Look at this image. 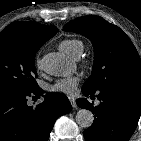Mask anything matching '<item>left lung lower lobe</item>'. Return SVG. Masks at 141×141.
<instances>
[{
    "label": "left lung lower lobe",
    "instance_id": "1",
    "mask_svg": "<svg viewBox=\"0 0 141 141\" xmlns=\"http://www.w3.org/2000/svg\"><path fill=\"white\" fill-rule=\"evenodd\" d=\"M85 96L92 95L82 88ZM101 101L94 107L84 98L77 99L80 108L95 114V121L84 131L86 141H128L141 114V88L112 87L97 92Z\"/></svg>",
    "mask_w": 141,
    "mask_h": 141
}]
</instances>
